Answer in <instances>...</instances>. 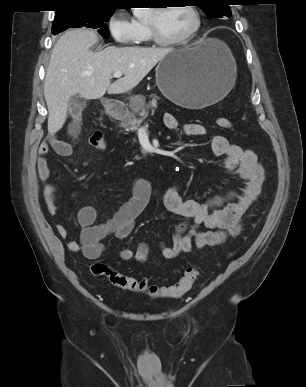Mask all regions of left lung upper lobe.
<instances>
[{
    "label": "left lung upper lobe",
    "mask_w": 306,
    "mask_h": 387,
    "mask_svg": "<svg viewBox=\"0 0 306 387\" xmlns=\"http://www.w3.org/2000/svg\"><path fill=\"white\" fill-rule=\"evenodd\" d=\"M194 3L213 18L231 15L228 0H194Z\"/></svg>",
    "instance_id": "obj_1"
}]
</instances>
